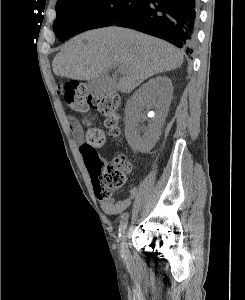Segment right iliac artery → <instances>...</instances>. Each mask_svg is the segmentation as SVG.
Segmentation results:
<instances>
[{
	"mask_svg": "<svg viewBox=\"0 0 245 300\" xmlns=\"http://www.w3.org/2000/svg\"><path fill=\"white\" fill-rule=\"evenodd\" d=\"M128 218H129L128 213H124L121 216L120 225H119V238H120V240H122L121 237L123 236V233L125 232V230L127 228ZM121 253H122V256H124V253H123L122 249H121Z\"/></svg>",
	"mask_w": 245,
	"mask_h": 300,
	"instance_id": "82829eb1",
	"label": "right iliac artery"
}]
</instances>
